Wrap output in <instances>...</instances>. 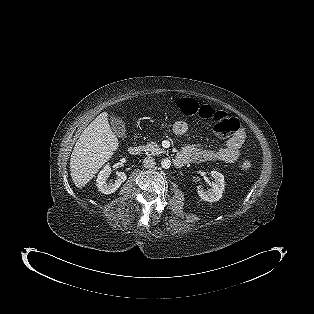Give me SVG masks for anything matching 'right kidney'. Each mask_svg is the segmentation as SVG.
I'll return each instance as SVG.
<instances>
[{"label":"right kidney","mask_w":314,"mask_h":314,"mask_svg":"<svg viewBox=\"0 0 314 314\" xmlns=\"http://www.w3.org/2000/svg\"><path fill=\"white\" fill-rule=\"evenodd\" d=\"M111 174V167L106 165L99 173L97 177V187L99 191L104 194H111L114 193L121 184L126 180L127 176L124 172H117V178L115 182H107V178Z\"/></svg>","instance_id":"obj_1"}]
</instances>
